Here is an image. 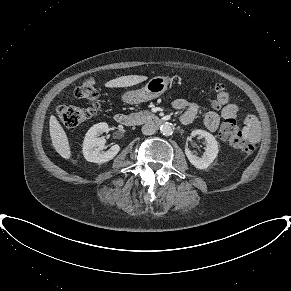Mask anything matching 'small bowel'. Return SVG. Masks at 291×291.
Here are the masks:
<instances>
[{
  "mask_svg": "<svg viewBox=\"0 0 291 291\" xmlns=\"http://www.w3.org/2000/svg\"><path fill=\"white\" fill-rule=\"evenodd\" d=\"M173 107L177 110H182L181 122L183 124L192 123L198 114V106L195 103L188 102L185 99L179 98L174 100ZM238 107L231 103L223 107L220 112L208 111L204 118L206 128L215 132L219 128L222 120L226 118H235L237 115ZM248 139L252 143H256L260 138V127L257 120L253 116L246 117L244 121Z\"/></svg>",
  "mask_w": 291,
  "mask_h": 291,
  "instance_id": "c3829d8e",
  "label": "small bowel"
}]
</instances>
